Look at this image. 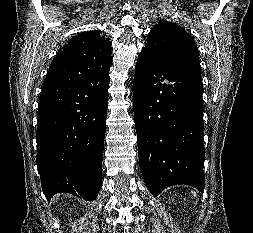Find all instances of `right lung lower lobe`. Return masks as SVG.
<instances>
[{
  "label": "right lung lower lobe",
  "mask_w": 253,
  "mask_h": 233,
  "mask_svg": "<svg viewBox=\"0 0 253 233\" xmlns=\"http://www.w3.org/2000/svg\"><path fill=\"white\" fill-rule=\"evenodd\" d=\"M109 70L45 83L39 99L37 168L50 200L66 192L94 200L101 188Z\"/></svg>",
  "instance_id": "right-lung-lower-lobe-1"
}]
</instances>
